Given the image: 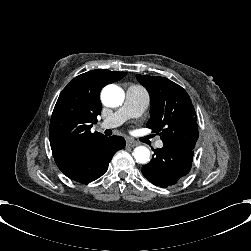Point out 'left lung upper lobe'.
Wrapping results in <instances>:
<instances>
[{
	"mask_svg": "<svg viewBox=\"0 0 251 251\" xmlns=\"http://www.w3.org/2000/svg\"><path fill=\"white\" fill-rule=\"evenodd\" d=\"M136 77L151 99V117L146 127L159 133L164 147L194 150L199 132L195 109L186 91L164 77Z\"/></svg>",
	"mask_w": 251,
	"mask_h": 251,
	"instance_id": "obj_1",
	"label": "left lung upper lobe"
}]
</instances>
